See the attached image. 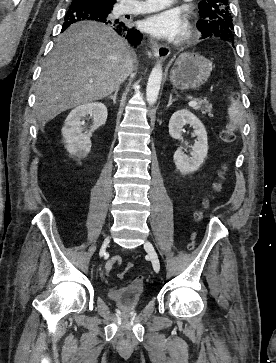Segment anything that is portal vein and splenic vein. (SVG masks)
<instances>
[{
    "mask_svg": "<svg viewBox=\"0 0 276 363\" xmlns=\"http://www.w3.org/2000/svg\"><path fill=\"white\" fill-rule=\"evenodd\" d=\"M189 106L195 107V106H197V102L195 100H192L189 102Z\"/></svg>",
    "mask_w": 276,
    "mask_h": 363,
    "instance_id": "obj_1",
    "label": "portal vein and splenic vein"
}]
</instances>
